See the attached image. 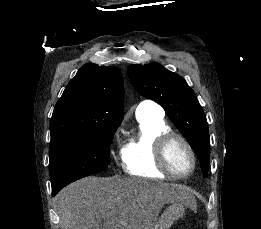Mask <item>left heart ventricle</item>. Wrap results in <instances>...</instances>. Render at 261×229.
Wrapping results in <instances>:
<instances>
[{
	"label": "left heart ventricle",
	"instance_id": "left-heart-ventricle-1",
	"mask_svg": "<svg viewBox=\"0 0 261 229\" xmlns=\"http://www.w3.org/2000/svg\"><path fill=\"white\" fill-rule=\"evenodd\" d=\"M169 162L178 173L186 172L191 166V158L186 147L180 143H174L169 149Z\"/></svg>",
	"mask_w": 261,
	"mask_h": 229
}]
</instances>
